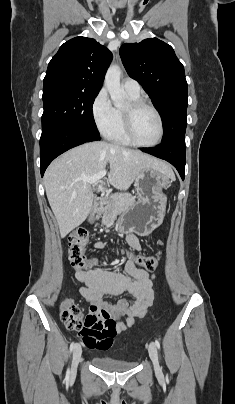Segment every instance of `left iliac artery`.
<instances>
[{
    "label": "left iliac artery",
    "instance_id": "obj_1",
    "mask_svg": "<svg viewBox=\"0 0 235 404\" xmlns=\"http://www.w3.org/2000/svg\"><path fill=\"white\" fill-rule=\"evenodd\" d=\"M155 346L160 349V342L157 339L155 340Z\"/></svg>",
    "mask_w": 235,
    "mask_h": 404
}]
</instances>
